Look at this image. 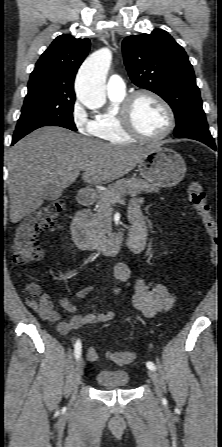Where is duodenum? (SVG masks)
Listing matches in <instances>:
<instances>
[{
	"mask_svg": "<svg viewBox=\"0 0 222 447\" xmlns=\"http://www.w3.org/2000/svg\"><path fill=\"white\" fill-rule=\"evenodd\" d=\"M81 207L87 208L93 202V196L86 190H80L77 196ZM139 222H133V229L128 233L130 239L125 240L126 234L123 231H117L113 236L103 240L94 239L86 226V215L82 210L75 212L71 221V231L76 245L81 249L91 250L103 253L107 256L117 255L125 244L131 251L141 252V245L135 241L139 234Z\"/></svg>",
	"mask_w": 222,
	"mask_h": 447,
	"instance_id": "obj_1",
	"label": "duodenum"
}]
</instances>
